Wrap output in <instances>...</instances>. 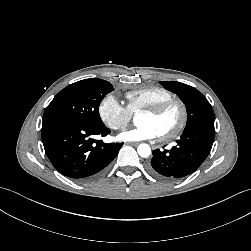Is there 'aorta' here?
<instances>
[{
    "mask_svg": "<svg viewBox=\"0 0 251 251\" xmlns=\"http://www.w3.org/2000/svg\"><path fill=\"white\" fill-rule=\"evenodd\" d=\"M139 156L146 158L151 154V148L148 144H140L137 148Z\"/></svg>",
    "mask_w": 251,
    "mask_h": 251,
    "instance_id": "obj_1",
    "label": "aorta"
}]
</instances>
